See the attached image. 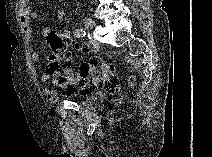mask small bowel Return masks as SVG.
I'll list each match as a JSON object with an SVG mask.
<instances>
[{
	"label": "small bowel",
	"instance_id": "small-bowel-1",
	"mask_svg": "<svg viewBox=\"0 0 212 157\" xmlns=\"http://www.w3.org/2000/svg\"><path fill=\"white\" fill-rule=\"evenodd\" d=\"M19 12H20V24L22 26L24 35L26 36L28 40H30L32 38V22L38 18V13L36 10L32 8L31 3L27 0H23L20 2ZM64 17H65L64 10L62 8L58 9L56 12L57 21L61 23ZM50 32H51V29L47 26L43 27L41 30V34L43 37H47L50 34ZM74 48L77 52L82 54L93 53V50L85 44L76 43ZM32 60L33 61L39 60V54L37 52L32 54ZM98 61H100L98 58L93 57L88 62L83 63L81 65V69L90 67L96 64ZM49 78L50 77L48 73H43L40 76V81L42 84H47L49 81ZM43 93L50 102H55L58 99V94L56 93V91L48 86H45L43 88Z\"/></svg>",
	"mask_w": 212,
	"mask_h": 157
}]
</instances>
